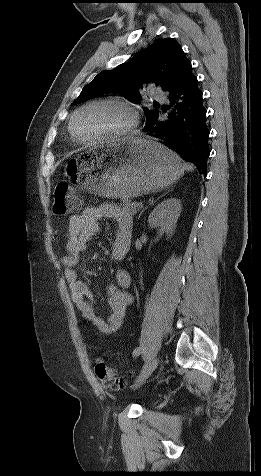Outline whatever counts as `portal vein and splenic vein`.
Returning a JSON list of instances; mask_svg holds the SVG:
<instances>
[{"mask_svg":"<svg viewBox=\"0 0 261 476\" xmlns=\"http://www.w3.org/2000/svg\"><path fill=\"white\" fill-rule=\"evenodd\" d=\"M138 205L142 207V206H143V203H142V202H139Z\"/></svg>","mask_w":261,"mask_h":476,"instance_id":"portal-vein-and-splenic-vein-1","label":"portal vein and splenic vein"}]
</instances>
